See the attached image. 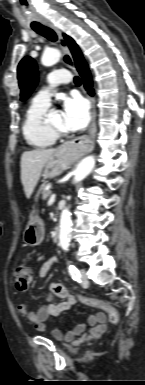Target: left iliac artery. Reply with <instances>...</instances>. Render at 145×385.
<instances>
[{
	"label": "left iliac artery",
	"mask_w": 145,
	"mask_h": 385,
	"mask_svg": "<svg viewBox=\"0 0 145 385\" xmlns=\"http://www.w3.org/2000/svg\"><path fill=\"white\" fill-rule=\"evenodd\" d=\"M68 272L73 280L80 281V273L79 270L72 264L68 266Z\"/></svg>",
	"instance_id": "obj_1"
}]
</instances>
